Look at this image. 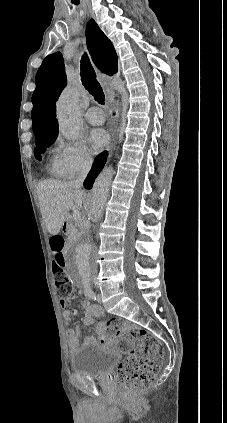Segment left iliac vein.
<instances>
[{
	"label": "left iliac vein",
	"instance_id": "4c4485c4",
	"mask_svg": "<svg viewBox=\"0 0 227 423\" xmlns=\"http://www.w3.org/2000/svg\"><path fill=\"white\" fill-rule=\"evenodd\" d=\"M96 300L98 301V302H101L102 301V296H101V294L99 293V294H97V298H96Z\"/></svg>",
	"mask_w": 227,
	"mask_h": 423
}]
</instances>
